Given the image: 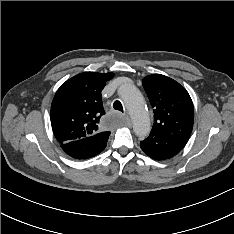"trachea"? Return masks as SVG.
Segmentation results:
<instances>
[{"instance_id": "1", "label": "trachea", "mask_w": 234, "mask_h": 234, "mask_svg": "<svg viewBox=\"0 0 234 234\" xmlns=\"http://www.w3.org/2000/svg\"><path fill=\"white\" fill-rule=\"evenodd\" d=\"M113 108L115 110L123 112V106H122L121 102L118 100L113 103Z\"/></svg>"}]
</instances>
